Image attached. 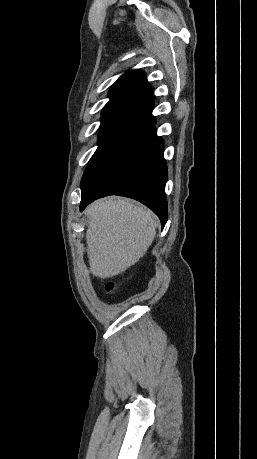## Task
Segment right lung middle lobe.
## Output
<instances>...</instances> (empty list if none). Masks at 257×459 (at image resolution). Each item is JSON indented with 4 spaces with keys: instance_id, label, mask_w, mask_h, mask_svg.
Returning <instances> with one entry per match:
<instances>
[{
    "instance_id": "dd1d6c3e",
    "label": "right lung middle lobe",
    "mask_w": 257,
    "mask_h": 459,
    "mask_svg": "<svg viewBox=\"0 0 257 459\" xmlns=\"http://www.w3.org/2000/svg\"><path fill=\"white\" fill-rule=\"evenodd\" d=\"M133 115L128 111L102 112L101 125L98 130L99 147L88 165L106 149L119 128Z\"/></svg>"
}]
</instances>
